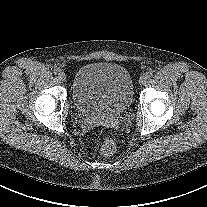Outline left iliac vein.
Here are the masks:
<instances>
[{"instance_id":"obj_1","label":"left iliac vein","mask_w":207,"mask_h":207,"mask_svg":"<svg viewBox=\"0 0 207 207\" xmlns=\"http://www.w3.org/2000/svg\"><path fill=\"white\" fill-rule=\"evenodd\" d=\"M147 79H148L147 75H142V76L139 78V83H140V84H144V83H146Z\"/></svg>"}]
</instances>
